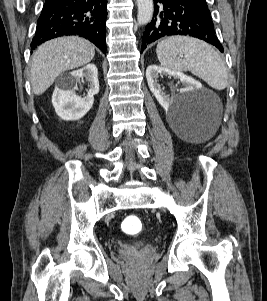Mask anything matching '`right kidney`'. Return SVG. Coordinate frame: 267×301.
Here are the masks:
<instances>
[{
	"mask_svg": "<svg viewBox=\"0 0 267 301\" xmlns=\"http://www.w3.org/2000/svg\"><path fill=\"white\" fill-rule=\"evenodd\" d=\"M89 82L87 96L79 97L75 89L80 79ZM99 92L98 69L94 64L70 73L67 81L55 88L52 95V104L57 115L66 121L81 119L91 109L94 95Z\"/></svg>",
	"mask_w": 267,
	"mask_h": 301,
	"instance_id": "obj_1",
	"label": "right kidney"
}]
</instances>
